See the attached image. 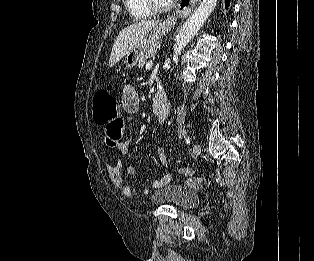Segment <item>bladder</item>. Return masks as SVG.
<instances>
[{"label":"bladder","mask_w":314,"mask_h":261,"mask_svg":"<svg viewBox=\"0 0 314 261\" xmlns=\"http://www.w3.org/2000/svg\"><path fill=\"white\" fill-rule=\"evenodd\" d=\"M152 202L180 209H192L197 206L199 198L194 190L186 186L168 184L152 194Z\"/></svg>","instance_id":"31cf9c89"}]
</instances>
